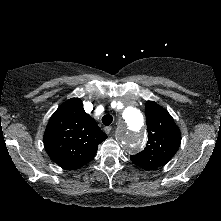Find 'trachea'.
<instances>
[{
	"label": "trachea",
	"mask_w": 221,
	"mask_h": 221,
	"mask_svg": "<svg viewBox=\"0 0 221 221\" xmlns=\"http://www.w3.org/2000/svg\"><path fill=\"white\" fill-rule=\"evenodd\" d=\"M113 122V117L111 115H104L102 117V123L109 126Z\"/></svg>",
	"instance_id": "1"
}]
</instances>
